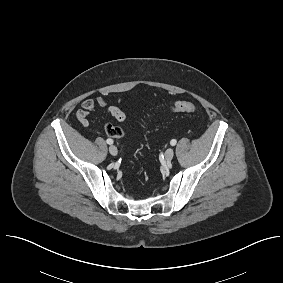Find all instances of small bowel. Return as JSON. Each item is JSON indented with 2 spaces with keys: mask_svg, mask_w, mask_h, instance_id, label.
I'll return each mask as SVG.
<instances>
[{
  "mask_svg": "<svg viewBox=\"0 0 283 283\" xmlns=\"http://www.w3.org/2000/svg\"><path fill=\"white\" fill-rule=\"evenodd\" d=\"M100 106L105 108V113L116 120L122 122L126 119V114L123 110L116 106H108L106 100L99 96L96 99L92 98H86L81 102V109H79L76 113L77 120L83 125V126H89L90 120L89 116L92 112L95 111L96 107ZM119 134L117 138H122L125 136L126 131L124 128L118 127Z\"/></svg>",
  "mask_w": 283,
  "mask_h": 283,
  "instance_id": "1",
  "label": "small bowel"
}]
</instances>
